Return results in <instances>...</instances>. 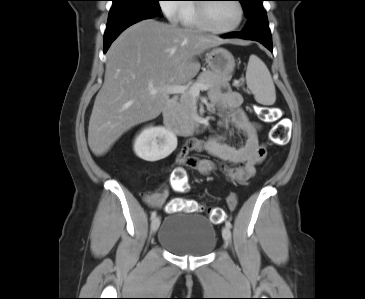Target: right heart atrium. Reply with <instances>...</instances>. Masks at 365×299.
Wrapping results in <instances>:
<instances>
[{
  "instance_id": "d8ad5b80",
  "label": "right heart atrium",
  "mask_w": 365,
  "mask_h": 299,
  "mask_svg": "<svg viewBox=\"0 0 365 299\" xmlns=\"http://www.w3.org/2000/svg\"><path fill=\"white\" fill-rule=\"evenodd\" d=\"M159 2L160 8L170 21L178 22L181 20L184 7L181 4L175 3L178 0H160Z\"/></svg>"
}]
</instances>
